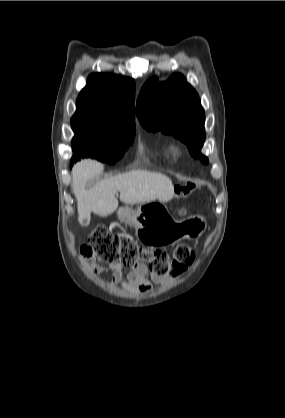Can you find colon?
Segmentation results:
<instances>
[{
  "label": "colon",
  "instance_id": "colon-1",
  "mask_svg": "<svg viewBox=\"0 0 285 418\" xmlns=\"http://www.w3.org/2000/svg\"><path fill=\"white\" fill-rule=\"evenodd\" d=\"M80 250L87 262H117L124 267L145 262L158 277H176L185 272L195 259L186 243L178 244L170 256L161 250L140 248L133 239L110 233L104 226L95 227Z\"/></svg>",
  "mask_w": 285,
  "mask_h": 418
}]
</instances>
